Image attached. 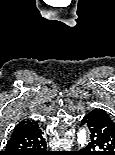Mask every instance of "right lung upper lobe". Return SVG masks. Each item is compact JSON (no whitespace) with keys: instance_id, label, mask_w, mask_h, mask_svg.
Segmentation results:
<instances>
[{"instance_id":"1","label":"right lung upper lobe","mask_w":115,"mask_h":155,"mask_svg":"<svg viewBox=\"0 0 115 155\" xmlns=\"http://www.w3.org/2000/svg\"><path fill=\"white\" fill-rule=\"evenodd\" d=\"M38 127L39 126L36 122L30 121V120H26V121L24 120V121L20 122L18 125H16V127L14 128V131L12 133V136L31 131Z\"/></svg>"}]
</instances>
